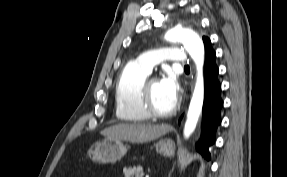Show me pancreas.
<instances>
[{
    "label": "pancreas",
    "instance_id": "cf45deb5",
    "mask_svg": "<svg viewBox=\"0 0 287 177\" xmlns=\"http://www.w3.org/2000/svg\"><path fill=\"white\" fill-rule=\"evenodd\" d=\"M125 177H143V169L141 167L124 168Z\"/></svg>",
    "mask_w": 287,
    "mask_h": 177
}]
</instances>
